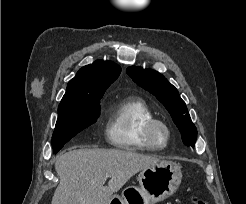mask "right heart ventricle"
Returning a JSON list of instances; mask_svg holds the SVG:
<instances>
[{
  "instance_id": "obj_1",
  "label": "right heart ventricle",
  "mask_w": 246,
  "mask_h": 204,
  "mask_svg": "<svg viewBox=\"0 0 246 204\" xmlns=\"http://www.w3.org/2000/svg\"><path fill=\"white\" fill-rule=\"evenodd\" d=\"M155 118L148 103L139 97H128L114 104L108 113L105 136L118 149L141 151L151 149L143 139L145 125Z\"/></svg>"
}]
</instances>
